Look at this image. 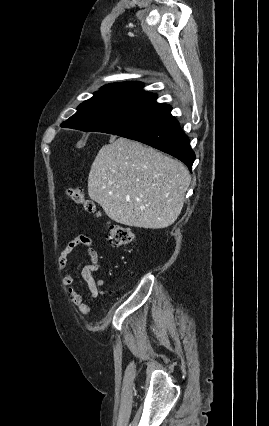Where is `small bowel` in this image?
<instances>
[{
    "instance_id": "1",
    "label": "small bowel",
    "mask_w": 269,
    "mask_h": 426,
    "mask_svg": "<svg viewBox=\"0 0 269 426\" xmlns=\"http://www.w3.org/2000/svg\"><path fill=\"white\" fill-rule=\"evenodd\" d=\"M79 246L84 249L89 258V264L81 270V277L89 289L91 298H97L102 281L96 280L94 273L100 269V263L97 251L94 249L92 239L89 236L80 235L71 240L61 252L58 266L63 273L62 284L68 290L70 302L77 307L81 315H87L91 311V303L85 302L83 296L75 289L73 277L68 270V256Z\"/></svg>"
}]
</instances>
